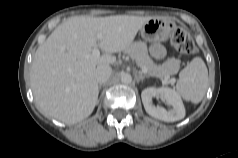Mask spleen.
Returning a JSON list of instances; mask_svg holds the SVG:
<instances>
[{"label": "spleen", "mask_w": 238, "mask_h": 158, "mask_svg": "<svg viewBox=\"0 0 238 158\" xmlns=\"http://www.w3.org/2000/svg\"><path fill=\"white\" fill-rule=\"evenodd\" d=\"M207 86V67L202 58L195 57L180 71L176 91L184 100L199 103L206 93Z\"/></svg>", "instance_id": "obj_1"}]
</instances>
